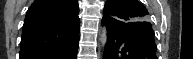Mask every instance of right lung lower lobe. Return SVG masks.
<instances>
[{
	"label": "right lung lower lobe",
	"mask_w": 193,
	"mask_h": 59,
	"mask_svg": "<svg viewBox=\"0 0 193 59\" xmlns=\"http://www.w3.org/2000/svg\"><path fill=\"white\" fill-rule=\"evenodd\" d=\"M78 43L79 36L50 53L24 55L19 59H76Z\"/></svg>",
	"instance_id": "98d812e1"
}]
</instances>
